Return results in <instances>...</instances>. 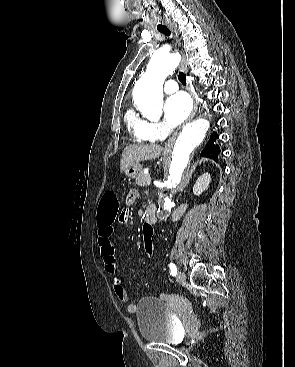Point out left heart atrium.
Instances as JSON below:
<instances>
[{
  "label": "left heart atrium",
  "mask_w": 295,
  "mask_h": 367,
  "mask_svg": "<svg viewBox=\"0 0 295 367\" xmlns=\"http://www.w3.org/2000/svg\"><path fill=\"white\" fill-rule=\"evenodd\" d=\"M191 111L189 97L179 92L169 97L164 106L165 122L169 127H175L183 122Z\"/></svg>",
  "instance_id": "left-heart-atrium-1"
}]
</instances>
